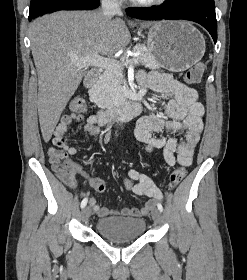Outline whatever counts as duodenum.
<instances>
[{
  "label": "duodenum",
  "instance_id": "duodenum-1",
  "mask_svg": "<svg viewBox=\"0 0 247 280\" xmlns=\"http://www.w3.org/2000/svg\"><path fill=\"white\" fill-rule=\"evenodd\" d=\"M99 74L96 71L91 72L85 81L87 88H93L97 83ZM141 110L138 94L130 95L129 99L117 107L109 108L98 112L97 118L101 125L112 121L125 122L132 119Z\"/></svg>",
  "mask_w": 247,
  "mask_h": 280
}]
</instances>
